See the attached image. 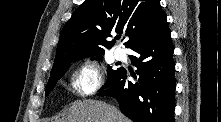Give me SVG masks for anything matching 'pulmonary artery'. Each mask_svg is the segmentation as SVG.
<instances>
[{
  "instance_id": "1",
  "label": "pulmonary artery",
  "mask_w": 221,
  "mask_h": 122,
  "mask_svg": "<svg viewBox=\"0 0 221 122\" xmlns=\"http://www.w3.org/2000/svg\"><path fill=\"white\" fill-rule=\"evenodd\" d=\"M114 56L117 60H124L126 58L125 51L121 48L115 49Z\"/></svg>"
}]
</instances>
